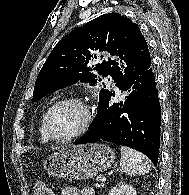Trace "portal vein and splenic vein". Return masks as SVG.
Wrapping results in <instances>:
<instances>
[{"label":"portal vein and splenic vein","instance_id":"1","mask_svg":"<svg viewBox=\"0 0 189 195\" xmlns=\"http://www.w3.org/2000/svg\"><path fill=\"white\" fill-rule=\"evenodd\" d=\"M98 182H103V179L101 177H97Z\"/></svg>","mask_w":189,"mask_h":195}]
</instances>
